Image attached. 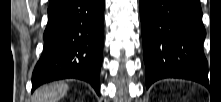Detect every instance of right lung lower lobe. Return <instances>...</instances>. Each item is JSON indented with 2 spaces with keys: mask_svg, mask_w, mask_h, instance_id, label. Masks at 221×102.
I'll return each instance as SVG.
<instances>
[{
  "mask_svg": "<svg viewBox=\"0 0 221 102\" xmlns=\"http://www.w3.org/2000/svg\"><path fill=\"white\" fill-rule=\"evenodd\" d=\"M104 0H51L44 49L32 75V91L67 78L90 83L99 94L104 43Z\"/></svg>",
  "mask_w": 221,
  "mask_h": 102,
  "instance_id": "1",
  "label": "right lung lower lobe"
}]
</instances>
